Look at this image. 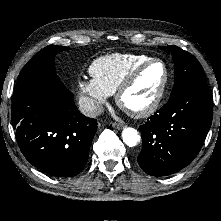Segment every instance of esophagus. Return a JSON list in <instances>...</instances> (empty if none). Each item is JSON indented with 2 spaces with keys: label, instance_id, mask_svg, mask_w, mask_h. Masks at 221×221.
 Segmentation results:
<instances>
[{
  "label": "esophagus",
  "instance_id": "1",
  "mask_svg": "<svg viewBox=\"0 0 221 221\" xmlns=\"http://www.w3.org/2000/svg\"><path fill=\"white\" fill-rule=\"evenodd\" d=\"M112 126H113L114 128H116V129H118V130L124 128V125H123V124L116 123V122L112 123Z\"/></svg>",
  "mask_w": 221,
  "mask_h": 221
}]
</instances>
